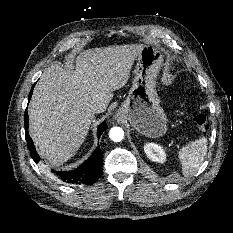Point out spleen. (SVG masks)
I'll list each match as a JSON object with an SVG mask.
<instances>
[{"mask_svg":"<svg viewBox=\"0 0 233 233\" xmlns=\"http://www.w3.org/2000/svg\"><path fill=\"white\" fill-rule=\"evenodd\" d=\"M207 153V139L201 137L184 145L178 152L182 165V174L185 177L193 175L201 166Z\"/></svg>","mask_w":233,"mask_h":233,"instance_id":"spleen-1","label":"spleen"}]
</instances>
